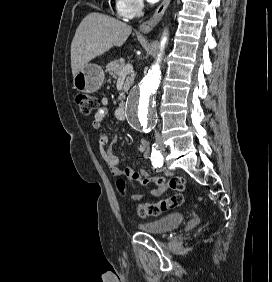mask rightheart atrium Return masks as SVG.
Here are the masks:
<instances>
[{
    "label": "right heart atrium",
    "instance_id": "right-heart-atrium-1",
    "mask_svg": "<svg viewBox=\"0 0 272 282\" xmlns=\"http://www.w3.org/2000/svg\"><path fill=\"white\" fill-rule=\"evenodd\" d=\"M143 9V0H119L116 5L118 15L124 19L135 18Z\"/></svg>",
    "mask_w": 272,
    "mask_h": 282
}]
</instances>
